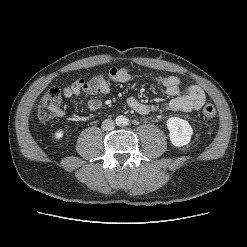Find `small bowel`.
Returning <instances> with one entry per match:
<instances>
[{
	"label": "small bowel",
	"instance_id": "small-bowel-1",
	"mask_svg": "<svg viewBox=\"0 0 247 247\" xmlns=\"http://www.w3.org/2000/svg\"><path fill=\"white\" fill-rule=\"evenodd\" d=\"M108 79L116 83H126L131 81L132 73L129 68L112 67L106 73L94 76L89 80L83 78L75 80L70 86L63 89V95L66 98L83 94L95 95L98 92L107 95L110 92ZM156 81L164 87L165 93L171 99L162 104L149 105L135 97H129L127 104L132 110L142 115L160 109L189 113L199 110L205 103V93L197 85H187L182 88L181 81L176 76L158 77ZM100 107L99 100L92 98L87 100V108L90 112H95ZM58 116L64 117L65 113L61 110Z\"/></svg>",
	"mask_w": 247,
	"mask_h": 247
}]
</instances>
